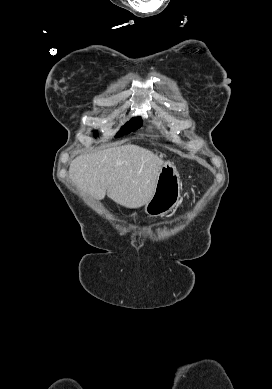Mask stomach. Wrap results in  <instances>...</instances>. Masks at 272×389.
<instances>
[{"instance_id": "1", "label": "stomach", "mask_w": 272, "mask_h": 389, "mask_svg": "<svg viewBox=\"0 0 272 389\" xmlns=\"http://www.w3.org/2000/svg\"><path fill=\"white\" fill-rule=\"evenodd\" d=\"M180 199V176L173 163L162 165L151 199L145 205L150 217L164 216L171 212Z\"/></svg>"}]
</instances>
